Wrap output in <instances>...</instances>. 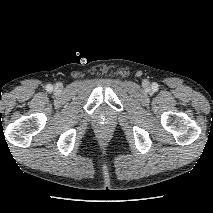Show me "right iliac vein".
<instances>
[{
	"mask_svg": "<svg viewBox=\"0 0 213 213\" xmlns=\"http://www.w3.org/2000/svg\"><path fill=\"white\" fill-rule=\"evenodd\" d=\"M59 89V87H56V90H58Z\"/></svg>",
	"mask_w": 213,
	"mask_h": 213,
	"instance_id": "63e3f726",
	"label": "right iliac vein"
}]
</instances>
